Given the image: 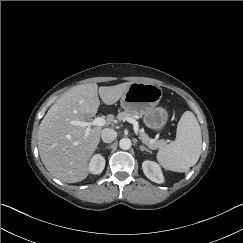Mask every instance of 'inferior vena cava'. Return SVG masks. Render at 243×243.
<instances>
[{
	"mask_svg": "<svg viewBox=\"0 0 243 243\" xmlns=\"http://www.w3.org/2000/svg\"><path fill=\"white\" fill-rule=\"evenodd\" d=\"M116 136V131L110 128H105L101 132V138L105 143H111L112 141H114Z\"/></svg>",
	"mask_w": 243,
	"mask_h": 243,
	"instance_id": "inferior-vena-cava-1",
	"label": "inferior vena cava"
}]
</instances>
